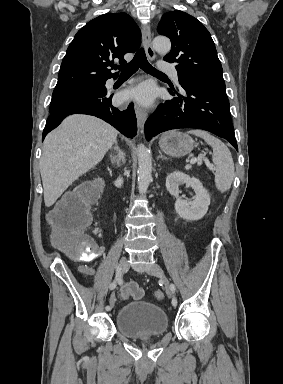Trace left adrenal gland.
Instances as JSON below:
<instances>
[{"label":"left adrenal gland","mask_w":283,"mask_h":384,"mask_svg":"<svg viewBox=\"0 0 283 384\" xmlns=\"http://www.w3.org/2000/svg\"><path fill=\"white\" fill-rule=\"evenodd\" d=\"M158 152H159V154H160V156H158V158H163V160H168V158H165V156H162L160 150H158Z\"/></svg>","instance_id":"left-adrenal-gland-1"}]
</instances>
